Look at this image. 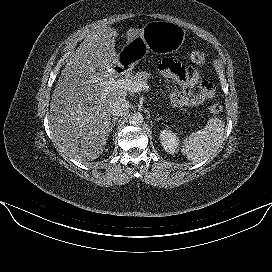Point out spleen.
Returning <instances> with one entry per match:
<instances>
[{
    "instance_id": "spleen-1",
    "label": "spleen",
    "mask_w": 272,
    "mask_h": 272,
    "mask_svg": "<svg viewBox=\"0 0 272 272\" xmlns=\"http://www.w3.org/2000/svg\"><path fill=\"white\" fill-rule=\"evenodd\" d=\"M224 126L222 119L210 118L203 129L193 132L183 141L181 152L193 163L209 159L221 145Z\"/></svg>"
}]
</instances>
